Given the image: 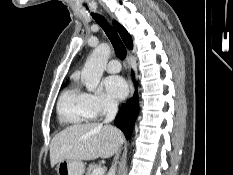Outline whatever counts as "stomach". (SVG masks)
Segmentation results:
<instances>
[{
	"label": "stomach",
	"mask_w": 233,
	"mask_h": 175,
	"mask_svg": "<svg viewBox=\"0 0 233 175\" xmlns=\"http://www.w3.org/2000/svg\"><path fill=\"white\" fill-rule=\"evenodd\" d=\"M56 170L58 175H83L85 165L78 160H63L58 163Z\"/></svg>",
	"instance_id": "obj_1"
}]
</instances>
